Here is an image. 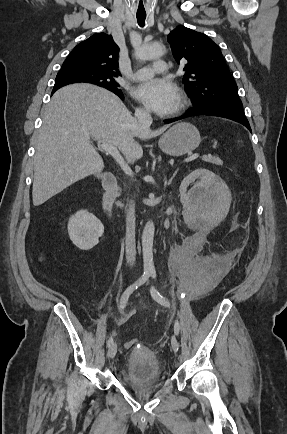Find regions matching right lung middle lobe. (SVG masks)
<instances>
[{
    "mask_svg": "<svg viewBox=\"0 0 287 434\" xmlns=\"http://www.w3.org/2000/svg\"><path fill=\"white\" fill-rule=\"evenodd\" d=\"M113 75L97 73L78 68L61 69L56 77L55 85H67L71 83H90L104 87L115 94H122L119 84Z\"/></svg>",
    "mask_w": 287,
    "mask_h": 434,
    "instance_id": "obj_1",
    "label": "right lung middle lobe"
}]
</instances>
